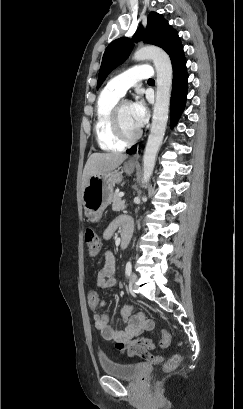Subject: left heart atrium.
<instances>
[{
	"label": "left heart atrium",
	"instance_id": "left-heart-atrium-1",
	"mask_svg": "<svg viewBox=\"0 0 243 409\" xmlns=\"http://www.w3.org/2000/svg\"><path fill=\"white\" fill-rule=\"evenodd\" d=\"M131 115L137 128L142 127L148 120V109L142 98L137 99L131 104Z\"/></svg>",
	"mask_w": 243,
	"mask_h": 409
}]
</instances>
